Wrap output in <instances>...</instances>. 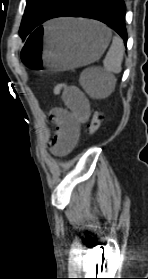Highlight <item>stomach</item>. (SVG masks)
<instances>
[{
  "label": "stomach",
  "mask_w": 148,
  "mask_h": 279,
  "mask_svg": "<svg viewBox=\"0 0 148 279\" xmlns=\"http://www.w3.org/2000/svg\"><path fill=\"white\" fill-rule=\"evenodd\" d=\"M36 27L43 31L27 35L23 72L63 71L88 65L101 57L111 39L105 26L91 21L58 20Z\"/></svg>",
  "instance_id": "stomach-1"
}]
</instances>
